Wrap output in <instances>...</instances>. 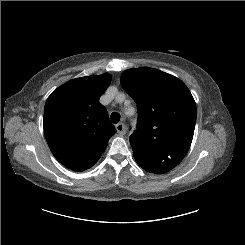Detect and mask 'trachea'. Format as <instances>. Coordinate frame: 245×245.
Masks as SVG:
<instances>
[{
    "mask_svg": "<svg viewBox=\"0 0 245 245\" xmlns=\"http://www.w3.org/2000/svg\"><path fill=\"white\" fill-rule=\"evenodd\" d=\"M119 120H120V114L119 113H117V112L111 113L112 123L117 124L119 122Z\"/></svg>",
    "mask_w": 245,
    "mask_h": 245,
    "instance_id": "obj_1",
    "label": "trachea"
}]
</instances>
